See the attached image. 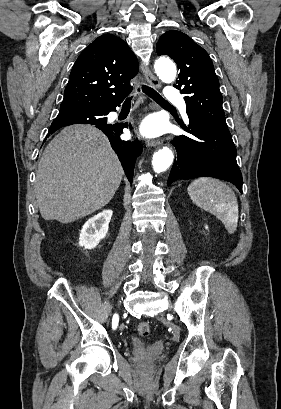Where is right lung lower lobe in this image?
<instances>
[{
  "label": "right lung lower lobe",
  "instance_id": "98d812e1",
  "mask_svg": "<svg viewBox=\"0 0 281 409\" xmlns=\"http://www.w3.org/2000/svg\"><path fill=\"white\" fill-rule=\"evenodd\" d=\"M117 106H120V104L112 107L61 108L58 116L87 118L91 125H95L100 129L108 137L112 148L121 161L128 180L132 183L135 159L140 155L142 146L138 141L131 142L120 139L123 128L130 127L128 123L107 124L106 115L111 111H116ZM54 131L56 130H49V134Z\"/></svg>",
  "mask_w": 281,
  "mask_h": 409
}]
</instances>
